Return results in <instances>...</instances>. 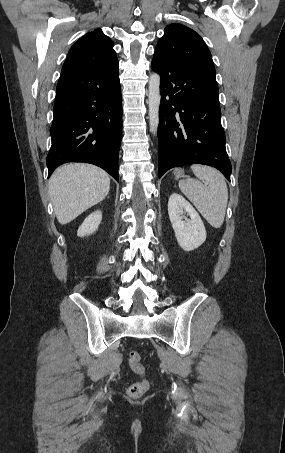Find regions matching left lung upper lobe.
Listing matches in <instances>:
<instances>
[{
    "label": "left lung upper lobe",
    "mask_w": 285,
    "mask_h": 453,
    "mask_svg": "<svg viewBox=\"0 0 285 453\" xmlns=\"http://www.w3.org/2000/svg\"><path fill=\"white\" fill-rule=\"evenodd\" d=\"M155 52L169 62L183 64L204 74L216 83L211 53L203 39L192 29L181 24L168 25Z\"/></svg>",
    "instance_id": "obj_1"
}]
</instances>
